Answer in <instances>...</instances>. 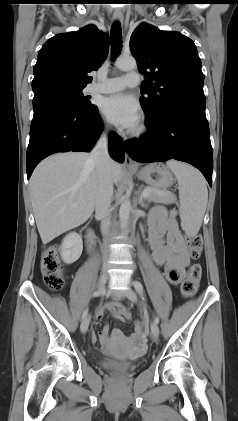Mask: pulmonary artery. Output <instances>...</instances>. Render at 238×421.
Returning <instances> with one entry per match:
<instances>
[{"mask_svg": "<svg viewBox=\"0 0 238 421\" xmlns=\"http://www.w3.org/2000/svg\"><path fill=\"white\" fill-rule=\"evenodd\" d=\"M140 82V75L137 72H128L121 77L107 78L101 83L93 84L91 91L99 93H113L123 90L126 87H135Z\"/></svg>", "mask_w": 238, "mask_h": 421, "instance_id": "e3ab8cb5", "label": "pulmonary artery"}]
</instances>
